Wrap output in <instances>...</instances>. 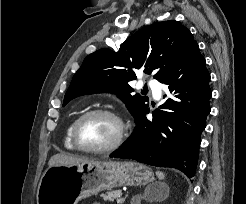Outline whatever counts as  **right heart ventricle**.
I'll use <instances>...</instances> for the list:
<instances>
[{
  "mask_svg": "<svg viewBox=\"0 0 246 204\" xmlns=\"http://www.w3.org/2000/svg\"><path fill=\"white\" fill-rule=\"evenodd\" d=\"M76 119H73L67 129H66V133H65V138H64V145L67 149H70V150H74L76 149L75 146L73 145V142H72V138H71V134H72V127H73V124L75 122Z\"/></svg>",
  "mask_w": 246,
  "mask_h": 204,
  "instance_id": "obj_1",
  "label": "right heart ventricle"
}]
</instances>
